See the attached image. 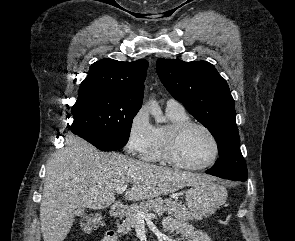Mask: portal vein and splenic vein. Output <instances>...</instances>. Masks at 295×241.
I'll return each instance as SVG.
<instances>
[{
  "label": "portal vein and splenic vein",
  "instance_id": "1",
  "mask_svg": "<svg viewBox=\"0 0 295 241\" xmlns=\"http://www.w3.org/2000/svg\"><path fill=\"white\" fill-rule=\"evenodd\" d=\"M127 189V186L126 185H123V186H118L116 188V192L118 194H123ZM156 215L153 214V213H143V212H140L138 211L137 212V221L141 222V221H144V220H150L152 218H154Z\"/></svg>",
  "mask_w": 295,
  "mask_h": 241
}]
</instances>
